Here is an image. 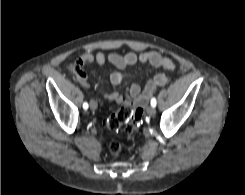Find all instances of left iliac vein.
<instances>
[{"instance_id": "left-iliac-vein-1", "label": "left iliac vein", "mask_w": 245, "mask_h": 195, "mask_svg": "<svg viewBox=\"0 0 245 195\" xmlns=\"http://www.w3.org/2000/svg\"><path fill=\"white\" fill-rule=\"evenodd\" d=\"M146 111H147V114L150 116H153L156 113V110L153 106H148Z\"/></svg>"}]
</instances>
